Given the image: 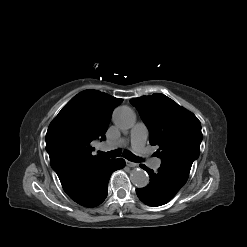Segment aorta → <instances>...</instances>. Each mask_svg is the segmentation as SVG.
<instances>
[{
  "mask_svg": "<svg viewBox=\"0 0 247 247\" xmlns=\"http://www.w3.org/2000/svg\"><path fill=\"white\" fill-rule=\"evenodd\" d=\"M114 124L121 130H127L133 127L136 122L135 112L128 106L117 107L112 116ZM131 182L138 188L148 185L149 176L140 168L134 169L130 174Z\"/></svg>",
  "mask_w": 247,
  "mask_h": 247,
  "instance_id": "obj_1",
  "label": "aorta"
}]
</instances>
